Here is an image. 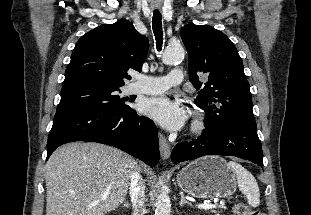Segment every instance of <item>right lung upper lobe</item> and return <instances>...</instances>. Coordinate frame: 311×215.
<instances>
[{"label": "right lung upper lobe", "mask_w": 311, "mask_h": 215, "mask_svg": "<svg viewBox=\"0 0 311 215\" xmlns=\"http://www.w3.org/2000/svg\"><path fill=\"white\" fill-rule=\"evenodd\" d=\"M148 46V39L126 19L103 24L76 43L63 86L94 83L121 87L125 84L123 79L131 78L128 69L141 72Z\"/></svg>", "instance_id": "obj_1"}]
</instances>
